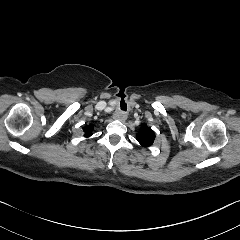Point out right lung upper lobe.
I'll return each mask as SVG.
<instances>
[{"instance_id": "obj_1", "label": "right lung upper lobe", "mask_w": 240, "mask_h": 240, "mask_svg": "<svg viewBox=\"0 0 240 240\" xmlns=\"http://www.w3.org/2000/svg\"><path fill=\"white\" fill-rule=\"evenodd\" d=\"M92 130H93V126L92 125H89V126H86L84 128V132H85V137H89L92 135Z\"/></svg>"}]
</instances>
